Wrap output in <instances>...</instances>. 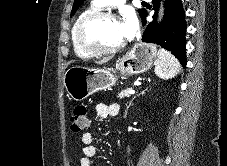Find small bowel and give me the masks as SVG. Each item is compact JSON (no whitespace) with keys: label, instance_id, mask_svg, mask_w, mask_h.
Listing matches in <instances>:
<instances>
[{"label":"small bowel","instance_id":"c3829d8e","mask_svg":"<svg viewBox=\"0 0 227 166\" xmlns=\"http://www.w3.org/2000/svg\"><path fill=\"white\" fill-rule=\"evenodd\" d=\"M95 109L98 118L104 120L116 116L119 113L120 107L116 103L111 105L99 103L96 105ZM81 140L84 144V148L80 157V166H92L91 158L97 154V149L93 145L94 137L90 132H86L82 134Z\"/></svg>","mask_w":227,"mask_h":166}]
</instances>
